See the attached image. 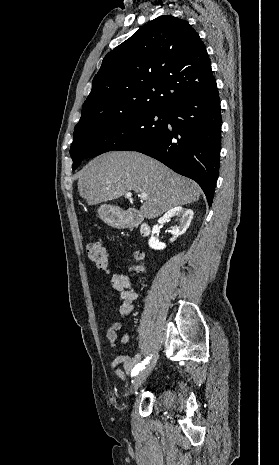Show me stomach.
Wrapping results in <instances>:
<instances>
[{"mask_svg": "<svg viewBox=\"0 0 279 465\" xmlns=\"http://www.w3.org/2000/svg\"><path fill=\"white\" fill-rule=\"evenodd\" d=\"M100 218L112 227L123 228L127 226L128 220L124 212L112 205H101L98 209Z\"/></svg>", "mask_w": 279, "mask_h": 465, "instance_id": "stomach-1", "label": "stomach"}]
</instances>
